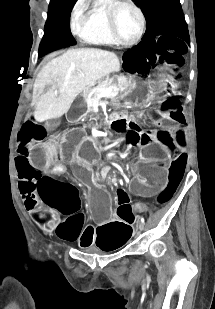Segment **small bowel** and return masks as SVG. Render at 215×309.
I'll list each match as a JSON object with an SVG mask.
<instances>
[{"instance_id": "small-bowel-1", "label": "small bowel", "mask_w": 215, "mask_h": 309, "mask_svg": "<svg viewBox=\"0 0 215 309\" xmlns=\"http://www.w3.org/2000/svg\"><path fill=\"white\" fill-rule=\"evenodd\" d=\"M123 129H131V130L135 131L137 129V126L134 122H129V124L127 126H125Z\"/></svg>"}]
</instances>
